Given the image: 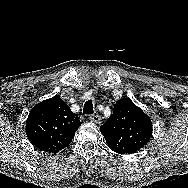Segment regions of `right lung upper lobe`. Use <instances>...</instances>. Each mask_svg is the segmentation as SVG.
Returning a JSON list of instances; mask_svg holds the SVG:
<instances>
[{
  "instance_id": "1",
  "label": "right lung upper lobe",
  "mask_w": 188,
  "mask_h": 188,
  "mask_svg": "<svg viewBox=\"0 0 188 188\" xmlns=\"http://www.w3.org/2000/svg\"><path fill=\"white\" fill-rule=\"evenodd\" d=\"M81 125L77 114L58 96L35 105L26 122V135L40 150L56 153L72 141Z\"/></svg>"
}]
</instances>
